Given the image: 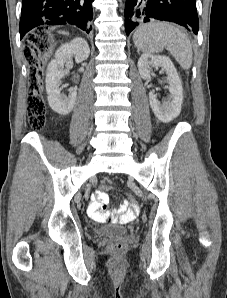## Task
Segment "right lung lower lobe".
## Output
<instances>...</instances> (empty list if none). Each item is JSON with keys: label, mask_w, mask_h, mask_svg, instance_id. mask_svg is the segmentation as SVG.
<instances>
[{"label": "right lung lower lobe", "mask_w": 227, "mask_h": 298, "mask_svg": "<svg viewBox=\"0 0 227 298\" xmlns=\"http://www.w3.org/2000/svg\"><path fill=\"white\" fill-rule=\"evenodd\" d=\"M93 0H23L20 19V39L35 27L75 25L87 33L93 18Z\"/></svg>", "instance_id": "right-lung-lower-lobe-1"}]
</instances>
